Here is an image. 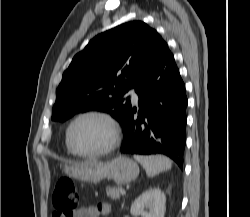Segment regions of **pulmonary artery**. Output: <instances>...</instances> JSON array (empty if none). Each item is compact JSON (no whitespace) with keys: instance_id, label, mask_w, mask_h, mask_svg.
I'll use <instances>...</instances> for the list:
<instances>
[{"instance_id":"e3ab8cb5","label":"pulmonary artery","mask_w":250,"mask_h":217,"mask_svg":"<svg viewBox=\"0 0 250 217\" xmlns=\"http://www.w3.org/2000/svg\"><path fill=\"white\" fill-rule=\"evenodd\" d=\"M127 94L131 97V99H132L133 102H137L138 101V96H137V94H136V92H135L134 89H130Z\"/></svg>"}]
</instances>
